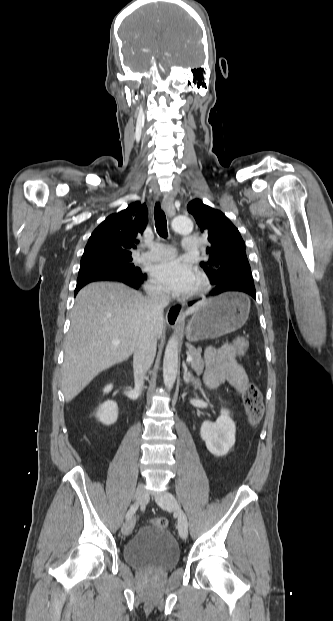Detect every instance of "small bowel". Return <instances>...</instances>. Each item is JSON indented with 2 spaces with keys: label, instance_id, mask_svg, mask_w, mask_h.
<instances>
[{
  "label": "small bowel",
  "instance_id": "obj_1",
  "mask_svg": "<svg viewBox=\"0 0 333 621\" xmlns=\"http://www.w3.org/2000/svg\"><path fill=\"white\" fill-rule=\"evenodd\" d=\"M224 382H228L239 393L244 392L248 383L243 367L237 362L233 348L228 345L220 349L210 348L206 352V387L214 389Z\"/></svg>",
  "mask_w": 333,
  "mask_h": 621
}]
</instances>
